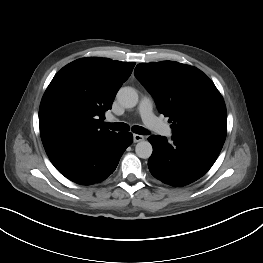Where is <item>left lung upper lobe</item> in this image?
Wrapping results in <instances>:
<instances>
[{"label": "left lung upper lobe", "instance_id": "obj_1", "mask_svg": "<svg viewBox=\"0 0 263 263\" xmlns=\"http://www.w3.org/2000/svg\"><path fill=\"white\" fill-rule=\"evenodd\" d=\"M136 78L169 117L173 133L225 141L227 113L214 83L199 69L174 61L138 64Z\"/></svg>", "mask_w": 263, "mask_h": 263}]
</instances>
